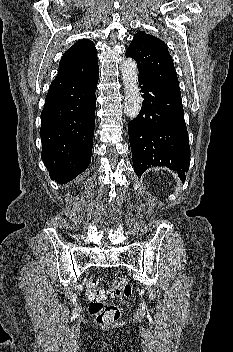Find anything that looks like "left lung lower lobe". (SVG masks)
<instances>
[{
    "label": "left lung lower lobe",
    "mask_w": 233,
    "mask_h": 352,
    "mask_svg": "<svg viewBox=\"0 0 233 352\" xmlns=\"http://www.w3.org/2000/svg\"><path fill=\"white\" fill-rule=\"evenodd\" d=\"M138 82L143 103L128 125L134 170L141 176L151 166H166L184 181L190 146L181 96L140 75Z\"/></svg>",
    "instance_id": "1"
}]
</instances>
